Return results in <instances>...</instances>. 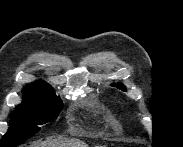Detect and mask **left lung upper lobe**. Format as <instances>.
<instances>
[{
	"label": "left lung upper lobe",
	"mask_w": 183,
	"mask_h": 147,
	"mask_svg": "<svg viewBox=\"0 0 183 147\" xmlns=\"http://www.w3.org/2000/svg\"><path fill=\"white\" fill-rule=\"evenodd\" d=\"M113 86L117 87L118 89H121L123 91L126 90L125 86L123 84H114Z\"/></svg>",
	"instance_id": "left-lung-upper-lobe-1"
}]
</instances>
